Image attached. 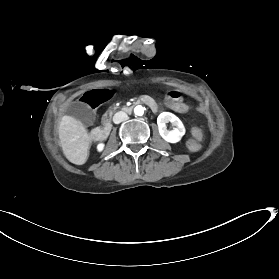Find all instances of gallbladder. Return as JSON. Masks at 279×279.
I'll return each mask as SVG.
<instances>
[{
    "label": "gallbladder",
    "mask_w": 279,
    "mask_h": 279,
    "mask_svg": "<svg viewBox=\"0 0 279 279\" xmlns=\"http://www.w3.org/2000/svg\"><path fill=\"white\" fill-rule=\"evenodd\" d=\"M60 113L64 117L74 114L80 124L93 125L96 122V115L93 112H88L79 101H72L69 106L62 107Z\"/></svg>",
    "instance_id": "gallbladder-1"
}]
</instances>
